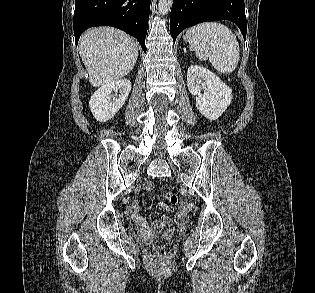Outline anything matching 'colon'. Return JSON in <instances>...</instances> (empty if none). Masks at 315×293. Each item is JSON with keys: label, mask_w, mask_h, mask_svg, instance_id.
<instances>
[{"label": "colon", "mask_w": 315, "mask_h": 293, "mask_svg": "<svg viewBox=\"0 0 315 293\" xmlns=\"http://www.w3.org/2000/svg\"><path fill=\"white\" fill-rule=\"evenodd\" d=\"M165 197L170 203H172L173 205H176L178 207L179 211H182L184 213V215L188 212L189 205L185 202L179 201L178 198L176 197V195H174L172 193H166ZM171 236H172V230L168 229L164 233V236H163L164 241H168L171 238ZM154 253L160 259H165L167 256V251H166L163 244H157L154 247Z\"/></svg>", "instance_id": "5ec220e1"}]
</instances>
